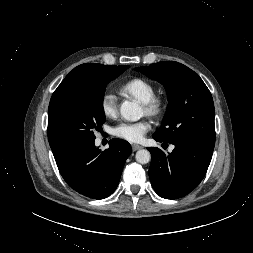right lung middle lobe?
<instances>
[{"mask_svg": "<svg viewBox=\"0 0 253 253\" xmlns=\"http://www.w3.org/2000/svg\"><path fill=\"white\" fill-rule=\"evenodd\" d=\"M128 65L98 73L85 84L66 86L55 90L48 109V139L51 148L94 140L105 122L103 97L106 85Z\"/></svg>", "mask_w": 253, "mask_h": 253, "instance_id": "right-lung-middle-lobe-1", "label": "right lung middle lobe"}]
</instances>
